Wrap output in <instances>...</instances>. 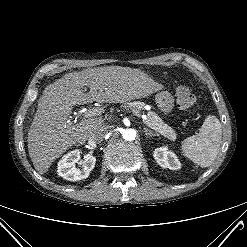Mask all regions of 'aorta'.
I'll return each mask as SVG.
<instances>
[{
    "mask_svg": "<svg viewBox=\"0 0 247 247\" xmlns=\"http://www.w3.org/2000/svg\"><path fill=\"white\" fill-rule=\"evenodd\" d=\"M122 136L126 141H132L136 137V132L133 129H125L122 132Z\"/></svg>",
    "mask_w": 247,
    "mask_h": 247,
    "instance_id": "obj_1",
    "label": "aorta"
}]
</instances>
